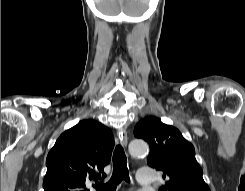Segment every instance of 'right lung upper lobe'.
I'll list each match as a JSON object with an SVG mask.
<instances>
[{
    "mask_svg": "<svg viewBox=\"0 0 245 191\" xmlns=\"http://www.w3.org/2000/svg\"><path fill=\"white\" fill-rule=\"evenodd\" d=\"M114 147L111 131L95 120H83L60 135L50 150L44 191H88L91 181L103 179Z\"/></svg>",
    "mask_w": 245,
    "mask_h": 191,
    "instance_id": "cb5924a9",
    "label": "right lung upper lobe"
}]
</instances>
